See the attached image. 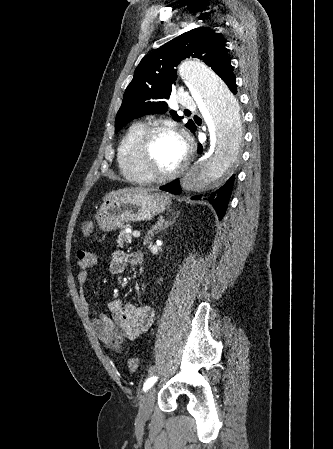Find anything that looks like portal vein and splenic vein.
<instances>
[{
  "instance_id": "18ae733b",
  "label": "portal vein and splenic vein",
  "mask_w": 333,
  "mask_h": 449,
  "mask_svg": "<svg viewBox=\"0 0 333 449\" xmlns=\"http://www.w3.org/2000/svg\"><path fill=\"white\" fill-rule=\"evenodd\" d=\"M132 235H133V237L138 238V237H140V232L134 231Z\"/></svg>"
}]
</instances>
